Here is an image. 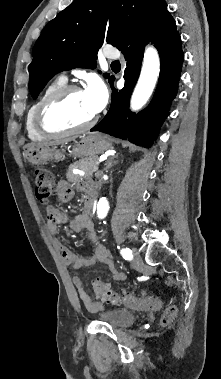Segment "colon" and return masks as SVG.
I'll list each match as a JSON object with an SVG mask.
<instances>
[{"instance_id": "colon-1", "label": "colon", "mask_w": 221, "mask_h": 379, "mask_svg": "<svg viewBox=\"0 0 221 379\" xmlns=\"http://www.w3.org/2000/svg\"><path fill=\"white\" fill-rule=\"evenodd\" d=\"M34 178L36 197L42 205L48 206L55 194L54 175L49 169L37 166L34 170ZM91 284L97 299L101 302L124 304L137 310H155L162 305V301L158 296L146 293L140 295L120 293L98 278L92 279ZM176 315L177 308L175 306L167 307L161 316V324L164 326L169 325Z\"/></svg>"}]
</instances>
